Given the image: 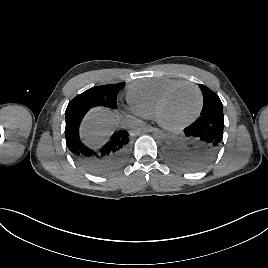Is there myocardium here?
<instances>
[{"label":"myocardium","instance_id":"obj_1","mask_svg":"<svg viewBox=\"0 0 268 268\" xmlns=\"http://www.w3.org/2000/svg\"><path fill=\"white\" fill-rule=\"evenodd\" d=\"M192 87L193 89H195V91L198 94V107L195 111V113L187 120L179 123V124H169L166 123L165 121L162 120L161 118V111L164 107V105L166 104V102L169 100V98L180 88L183 87ZM203 103H204V98H203V93L201 91V89L194 83L191 82H181L179 84L174 85L173 87H171L170 89H168L164 95L160 98V100L158 101L156 108H155V113H154V117L155 120L157 121V123L170 131H179L182 130L183 128L187 127L188 125H190L191 123H193L198 116L200 115L202 108H203Z\"/></svg>","mask_w":268,"mask_h":268}]
</instances>
